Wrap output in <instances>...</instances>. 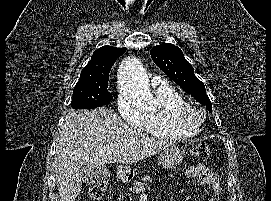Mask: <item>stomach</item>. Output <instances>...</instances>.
<instances>
[{
    "label": "stomach",
    "mask_w": 271,
    "mask_h": 201,
    "mask_svg": "<svg viewBox=\"0 0 271 201\" xmlns=\"http://www.w3.org/2000/svg\"><path fill=\"white\" fill-rule=\"evenodd\" d=\"M184 158V151L176 146H171L163 150L160 164L165 169H170L179 165ZM118 175L124 180H130L134 177L135 171L127 166H119Z\"/></svg>",
    "instance_id": "0dacf381"
}]
</instances>
